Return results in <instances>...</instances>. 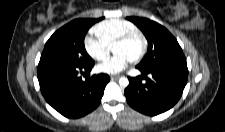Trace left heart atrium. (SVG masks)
<instances>
[{
	"mask_svg": "<svg viewBox=\"0 0 225 132\" xmlns=\"http://www.w3.org/2000/svg\"><path fill=\"white\" fill-rule=\"evenodd\" d=\"M131 61L132 59L128 55L119 53L101 63L98 66V70L105 74H118L123 71Z\"/></svg>",
	"mask_w": 225,
	"mask_h": 132,
	"instance_id": "left-heart-atrium-1",
	"label": "left heart atrium"
}]
</instances>
